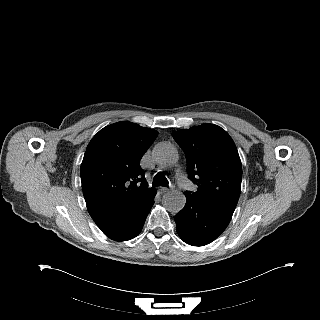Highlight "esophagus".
Returning <instances> with one entry per match:
<instances>
[{
  "label": "esophagus",
  "mask_w": 320,
  "mask_h": 320,
  "mask_svg": "<svg viewBox=\"0 0 320 320\" xmlns=\"http://www.w3.org/2000/svg\"><path fill=\"white\" fill-rule=\"evenodd\" d=\"M169 190H170V189L167 188V187H160V188H159V192H160L161 194L166 193V192H168Z\"/></svg>",
  "instance_id": "esophagus-1"
}]
</instances>
